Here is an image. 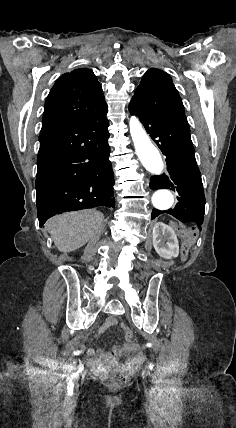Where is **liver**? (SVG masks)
<instances>
[{
  "instance_id": "6515ba94",
  "label": "liver",
  "mask_w": 236,
  "mask_h": 428,
  "mask_svg": "<svg viewBox=\"0 0 236 428\" xmlns=\"http://www.w3.org/2000/svg\"><path fill=\"white\" fill-rule=\"evenodd\" d=\"M104 214L96 210L66 212L48 220L46 230L59 252H74L85 246L94 234H103Z\"/></svg>"
}]
</instances>
